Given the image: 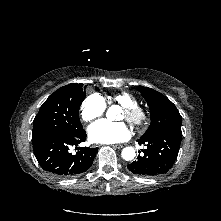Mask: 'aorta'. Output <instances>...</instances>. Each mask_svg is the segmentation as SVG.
Returning <instances> with one entry per match:
<instances>
[{"instance_id": "aorta-1", "label": "aorta", "mask_w": 221, "mask_h": 221, "mask_svg": "<svg viewBox=\"0 0 221 221\" xmlns=\"http://www.w3.org/2000/svg\"><path fill=\"white\" fill-rule=\"evenodd\" d=\"M135 157V149L133 147H125L122 150V158L126 161H130Z\"/></svg>"}]
</instances>
